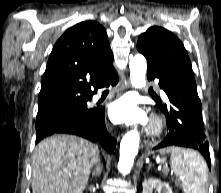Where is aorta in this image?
Returning <instances> with one entry per match:
<instances>
[{
	"label": "aorta",
	"instance_id": "762f6f07",
	"mask_svg": "<svg viewBox=\"0 0 221 193\" xmlns=\"http://www.w3.org/2000/svg\"><path fill=\"white\" fill-rule=\"evenodd\" d=\"M130 82L134 88L146 86L147 62L143 55L136 54L130 57ZM140 136L136 129L127 132L120 143L118 170L123 175L129 174L138 153Z\"/></svg>",
	"mask_w": 221,
	"mask_h": 193
}]
</instances>
